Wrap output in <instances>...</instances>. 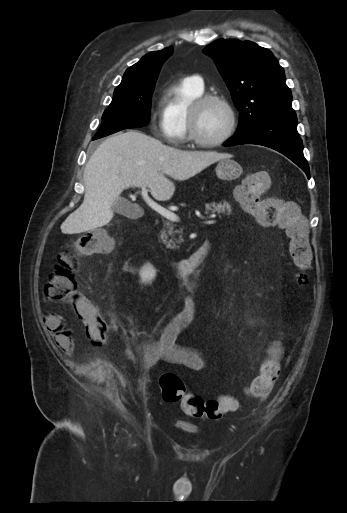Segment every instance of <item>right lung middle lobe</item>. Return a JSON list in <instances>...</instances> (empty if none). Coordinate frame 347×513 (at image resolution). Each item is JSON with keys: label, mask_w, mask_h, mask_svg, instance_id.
Returning a JSON list of instances; mask_svg holds the SVG:
<instances>
[{"label": "right lung middle lobe", "mask_w": 347, "mask_h": 513, "mask_svg": "<svg viewBox=\"0 0 347 513\" xmlns=\"http://www.w3.org/2000/svg\"><path fill=\"white\" fill-rule=\"evenodd\" d=\"M154 85L155 82L144 87L116 88L112 102L103 113L102 125L94 139L148 124Z\"/></svg>", "instance_id": "right-lung-middle-lobe-1"}]
</instances>
